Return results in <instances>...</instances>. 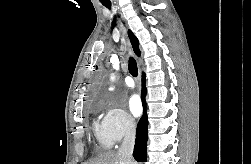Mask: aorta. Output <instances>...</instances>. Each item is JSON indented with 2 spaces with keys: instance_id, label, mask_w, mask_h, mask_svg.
Wrapping results in <instances>:
<instances>
[{
  "instance_id": "obj_1",
  "label": "aorta",
  "mask_w": 251,
  "mask_h": 164,
  "mask_svg": "<svg viewBox=\"0 0 251 164\" xmlns=\"http://www.w3.org/2000/svg\"><path fill=\"white\" fill-rule=\"evenodd\" d=\"M111 79L113 80V79H114V76H111Z\"/></svg>"
}]
</instances>
